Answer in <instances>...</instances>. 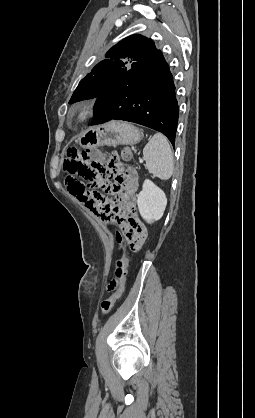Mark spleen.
Instances as JSON below:
<instances>
[{"label": "spleen", "instance_id": "obj_1", "mask_svg": "<svg viewBox=\"0 0 255 418\" xmlns=\"http://www.w3.org/2000/svg\"><path fill=\"white\" fill-rule=\"evenodd\" d=\"M146 168L161 180L169 179L174 171L173 153L167 138L156 133L143 149Z\"/></svg>", "mask_w": 255, "mask_h": 418}]
</instances>
